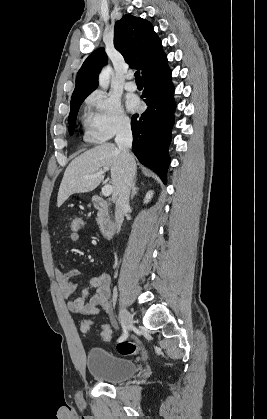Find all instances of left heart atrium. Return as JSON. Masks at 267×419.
<instances>
[{
	"label": "left heart atrium",
	"instance_id": "39dd6f15",
	"mask_svg": "<svg viewBox=\"0 0 267 419\" xmlns=\"http://www.w3.org/2000/svg\"><path fill=\"white\" fill-rule=\"evenodd\" d=\"M127 107L131 110V111H135L138 109L139 107V101L137 98L135 97H130L127 100Z\"/></svg>",
	"mask_w": 267,
	"mask_h": 419
}]
</instances>
